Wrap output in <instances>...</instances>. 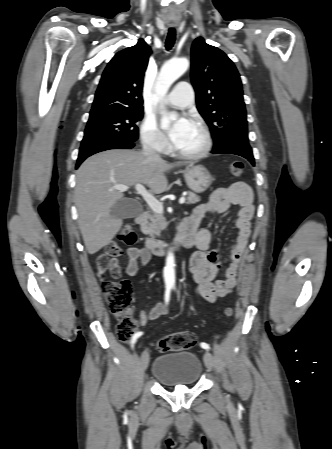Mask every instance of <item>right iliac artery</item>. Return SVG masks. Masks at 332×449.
<instances>
[{"instance_id":"right-iliac-artery-1","label":"right iliac artery","mask_w":332,"mask_h":449,"mask_svg":"<svg viewBox=\"0 0 332 449\" xmlns=\"http://www.w3.org/2000/svg\"><path fill=\"white\" fill-rule=\"evenodd\" d=\"M170 291H171L170 288H166V291H165V303H166V304L169 302V299H170ZM142 334H143V332H137V333H135V334L132 336L131 342H130L132 348L134 347V344H135L136 340H137Z\"/></svg>"}]
</instances>
